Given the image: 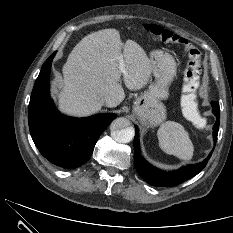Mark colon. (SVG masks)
<instances>
[{
    "instance_id": "1",
    "label": "colon",
    "mask_w": 233,
    "mask_h": 233,
    "mask_svg": "<svg viewBox=\"0 0 233 233\" xmlns=\"http://www.w3.org/2000/svg\"><path fill=\"white\" fill-rule=\"evenodd\" d=\"M144 29L155 39L179 45L187 53L188 63L184 74L182 105L191 120L200 119L201 115L196 102V93L200 83L201 52L185 38L159 25L146 24Z\"/></svg>"
}]
</instances>
